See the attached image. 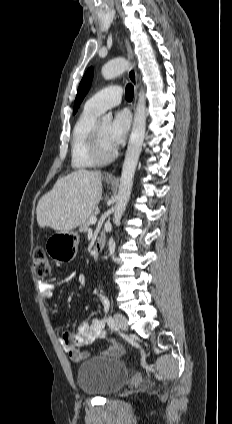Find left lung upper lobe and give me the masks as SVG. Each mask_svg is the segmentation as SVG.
Masks as SVG:
<instances>
[{
    "instance_id": "1",
    "label": "left lung upper lobe",
    "mask_w": 232,
    "mask_h": 424,
    "mask_svg": "<svg viewBox=\"0 0 232 424\" xmlns=\"http://www.w3.org/2000/svg\"><path fill=\"white\" fill-rule=\"evenodd\" d=\"M93 73L94 70L92 67H90L87 72L85 73L82 81L80 82L75 103H74V110L73 113L75 114L79 108L80 103L84 99L85 95L87 94L89 87L91 85L92 79H93Z\"/></svg>"
}]
</instances>
